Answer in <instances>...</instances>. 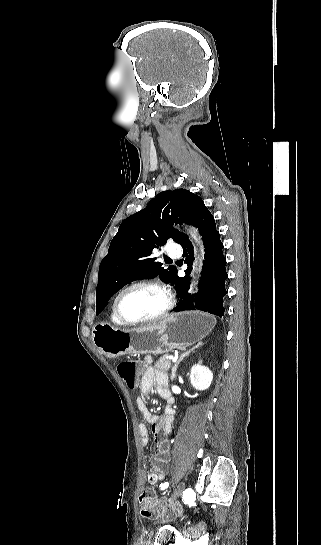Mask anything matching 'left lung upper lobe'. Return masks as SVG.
<instances>
[{
    "instance_id": "obj_1",
    "label": "left lung upper lobe",
    "mask_w": 321,
    "mask_h": 545,
    "mask_svg": "<svg viewBox=\"0 0 321 545\" xmlns=\"http://www.w3.org/2000/svg\"><path fill=\"white\" fill-rule=\"evenodd\" d=\"M202 204L201 197L186 189L168 190L157 194L145 209L121 223L100 264L96 314L112 295L134 280L159 276L166 282L172 281L177 269L162 267L151 254L170 238L180 243L185 234L172 225L189 224L197 206Z\"/></svg>"
}]
</instances>
